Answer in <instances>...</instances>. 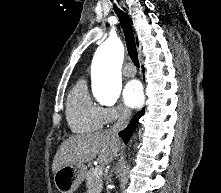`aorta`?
Wrapping results in <instances>:
<instances>
[{"label": "aorta", "mask_w": 221, "mask_h": 193, "mask_svg": "<svg viewBox=\"0 0 221 193\" xmlns=\"http://www.w3.org/2000/svg\"><path fill=\"white\" fill-rule=\"evenodd\" d=\"M123 56V45L116 38L105 41L95 53L93 94L103 104H113L119 98Z\"/></svg>", "instance_id": "obj_1"}]
</instances>
